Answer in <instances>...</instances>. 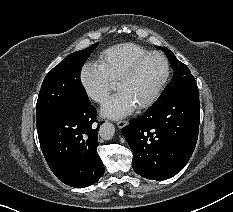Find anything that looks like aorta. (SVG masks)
I'll list each match as a JSON object with an SVG mask.
<instances>
[{"label":"aorta","instance_id":"aorta-1","mask_svg":"<svg viewBox=\"0 0 233 212\" xmlns=\"http://www.w3.org/2000/svg\"><path fill=\"white\" fill-rule=\"evenodd\" d=\"M99 134L104 140H110L115 135L114 125L109 122L104 123L100 127Z\"/></svg>","mask_w":233,"mask_h":212}]
</instances>
